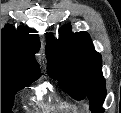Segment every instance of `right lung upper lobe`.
I'll use <instances>...</instances> for the list:
<instances>
[{
    "label": "right lung upper lobe",
    "mask_w": 121,
    "mask_h": 113,
    "mask_svg": "<svg viewBox=\"0 0 121 113\" xmlns=\"http://www.w3.org/2000/svg\"><path fill=\"white\" fill-rule=\"evenodd\" d=\"M27 27L18 28L7 25L1 29V65L20 70L31 78H39L40 69L34 54L40 48L38 36Z\"/></svg>",
    "instance_id": "obj_1"
}]
</instances>
